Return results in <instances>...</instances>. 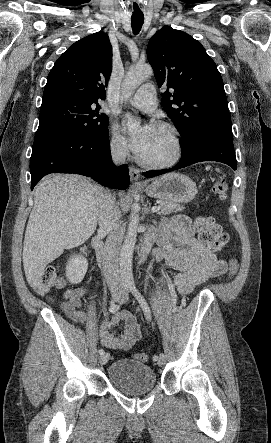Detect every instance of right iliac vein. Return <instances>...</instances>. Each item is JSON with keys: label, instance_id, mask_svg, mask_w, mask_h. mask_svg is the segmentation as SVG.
Wrapping results in <instances>:
<instances>
[{"label": "right iliac vein", "instance_id": "obj_1", "mask_svg": "<svg viewBox=\"0 0 271 443\" xmlns=\"http://www.w3.org/2000/svg\"><path fill=\"white\" fill-rule=\"evenodd\" d=\"M122 299H123V297L120 294L113 295V300L115 302H120V301H122ZM109 358H110L109 353H104L103 355L100 356L99 363L101 365H105L108 362Z\"/></svg>", "mask_w": 271, "mask_h": 443}]
</instances>
